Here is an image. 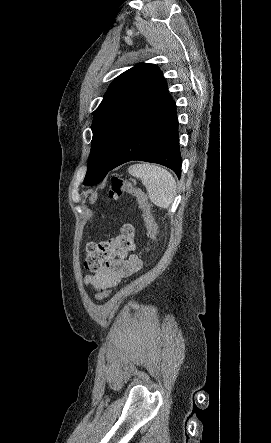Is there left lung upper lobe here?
Returning a JSON list of instances; mask_svg holds the SVG:
<instances>
[{
	"instance_id": "5c2ea615",
	"label": "left lung upper lobe",
	"mask_w": 271,
	"mask_h": 443,
	"mask_svg": "<svg viewBox=\"0 0 271 443\" xmlns=\"http://www.w3.org/2000/svg\"><path fill=\"white\" fill-rule=\"evenodd\" d=\"M161 75L156 65L140 63L111 83L93 119L85 185L99 183L110 171L126 128Z\"/></svg>"
}]
</instances>
